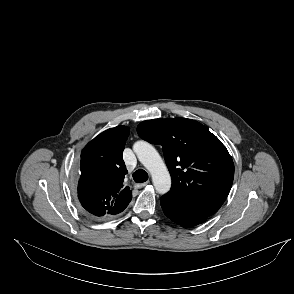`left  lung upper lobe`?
<instances>
[{"label":"left lung upper lobe","mask_w":294,"mask_h":294,"mask_svg":"<svg viewBox=\"0 0 294 294\" xmlns=\"http://www.w3.org/2000/svg\"><path fill=\"white\" fill-rule=\"evenodd\" d=\"M137 132L162 145L172 178L164 197L206 216L216 213L234 177L233 160L223 143L201 123L185 118L143 121Z\"/></svg>","instance_id":"1"}]
</instances>
